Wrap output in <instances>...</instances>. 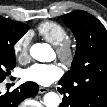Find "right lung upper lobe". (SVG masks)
Segmentation results:
<instances>
[{"instance_id":"cb5924a9","label":"right lung upper lobe","mask_w":107,"mask_h":107,"mask_svg":"<svg viewBox=\"0 0 107 107\" xmlns=\"http://www.w3.org/2000/svg\"><path fill=\"white\" fill-rule=\"evenodd\" d=\"M7 20L9 19L0 17V42L7 41L9 39V31L6 25Z\"/></svg>"}]
</instances>
